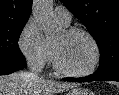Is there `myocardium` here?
Segmentation results:
<instances>
[{"mask_svg":"<svg viewBox=\"0 0 119 95\" xmlns=\"http://www.w3.org/2000/svg\"><path fill=\"white\" fill-rule=\"evenodd\" d=\"M65 33L69 36L81 34L87 37L94 47L95 57L93 63L88 69L84 71H72L64 66V64L60 59V55L57 47L53 45V62L56 70L66 76L77 77V78L87 77L93 74L97 70L101 61V48L96 38L89 31L78 27L68 28L65 30Z\"/></svg>","mask_w":119,"mask_h":95,"instance_id":"obj_1","label":"myocardium"}]
</instances>
